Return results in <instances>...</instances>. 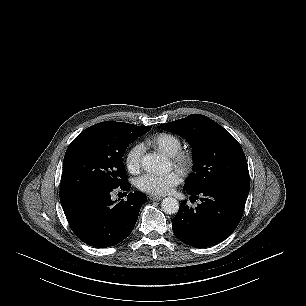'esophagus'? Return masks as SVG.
Returning <instances> with one entry per match:
<instances>
[{"label": "esophagus", "mask_w": 306, "mask_h": 306, "mask_svg": "<svg viewBox=\"0 0 306 306\" xmlns=\"http://www.w3.org/2000/svg\"><path fill=\"white\" fill-rule=\"evenodd\" d=\"M149 199L152 200V201H160L163 199V197L161 196H156V195H150L149 196Z\"/></svg>", "instance_id": "esophagus-1"}]
</instances>
